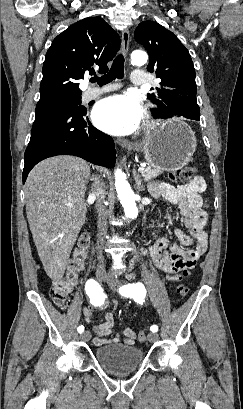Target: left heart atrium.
<instances>
[{
  "label": "left heart atrium",
  "instance_id": "1",
  "mask_svg": "<svg viewBox=\"0 0 243 409\" xmlns=\"http://www.w3.org/2000/svg\"><path fill=\"white\" fill-rule=\"evenodd\" d=\"M93 121L102 131L127 135L139 127L144 117L140 101L132 95H115L101 100L93 110Z\"/></svg>",
  "mask_w": 243,
  "mask_h": 409
}]
</instances>
